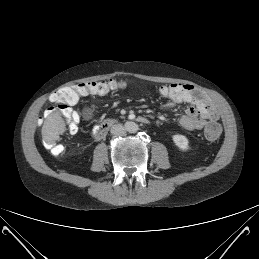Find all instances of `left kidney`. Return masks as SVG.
<instances>
[{
  "instance_id": "left-kidney-1",
  "label": "left kidney",
  "mask_w": 259,
  "mask_h": 259,
  "mask_svg": "<svg viewBox=\"0 0 259 259\" xmlns=\"http://www.w3.org/2000/svg\"><path fill=\"white\" fill-rule=\"evenodd\" d=\"M173 142L181 151H187L189 149V141L184 135L176 134L172 137Z\"/></svg>"
}]
</instances>
